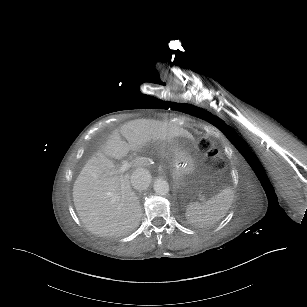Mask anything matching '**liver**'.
Here are the masks:
<instances>
[{"instance_id":"obj_1","label":"liver","mask_w":307,"mask_h":307,"mask_svg":"<svg viewBox=\"0 0 307 307\" xmlns=\"http://www.w3.org/2000/svg\"><path fill=\"white\" fill-rule=\"evenodd\" d=\"M175 137L193 140L192 134L179 125L135 119L113 131L106 142L105 152L119 160L130 150L137 151L157 140L171 142ZM146 165L147 158L135 159V166ZM114 167L104 155L93 156L73 186V201L80 220L89 231L100 236L128 234L138 227L142 216L138 197L130 185V175H117Z\"/></svg>"}]
</instances>
